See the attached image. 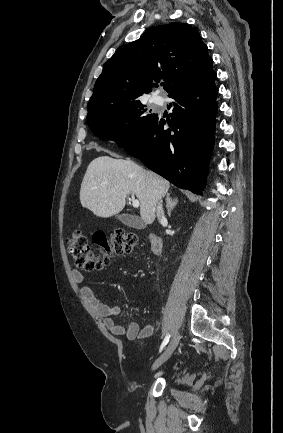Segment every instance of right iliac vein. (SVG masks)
Instances as JSON below:
<instances>
[{"mask_svg": "<svg viewBox=\"0 0 283 433\" xmlns=\"http://www.w3.org/2000/svg\"><path fill=\"white\" fill-rule=\"evenodd\" d=\"M179 340H180V333H179V331H176L173 334V337H172L168 347L164 351V353L154 362V364L152 366L153 370L158 369L164 362H166L170 358V356L172 355V353L176 349V347L179 343Z\"/></svg>", "mask_w": 283, "mask_h": 433, "instance_id": "1", "label": "right iliac vein"}]
</instances>
